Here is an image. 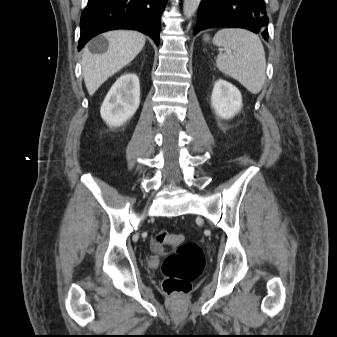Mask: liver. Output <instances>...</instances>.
<instances>
[{"label":"liver","instance_id":"6515ba94","mask_svg":"<svg viewBox=\"0 0 337 337\" xmlns=\"http://www.w3.org/2000/svg\"><path fill=\"white\" fill-rule=\"evenodd\" d=\"M103 36L108 40L106 52L93 54L86 47L82 54L84 82L91 96L109 77L129 64L146 41L142 33L130 30L108 31Z\"/></svg>","mask_w":337,"mask_h":337}]
</instances>
